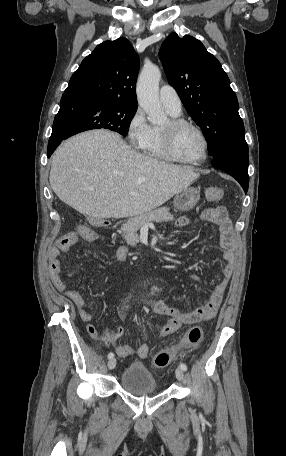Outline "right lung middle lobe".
Returning a JSON list of instances; mask_svg holds the SVG:
<instances>
[{
    "mask_svg": "<svg viewBox=\"0 0 286 456\" xmlns=\"http://www.w3.org/2000/svg\"><path fill=\"white\" fill-rule=\"evenodd\" d=\"M136 106L121 105L94 97L79 96L60 136L64 139L82 131L105 128L126 136Z\"/></svg>",
    "mask_w": 286,
    "mask_h": 456,
    "instance_id": "right-lung-middle-lobe-1",
    "label": "right lung middle lobe"
}]
</instances>
